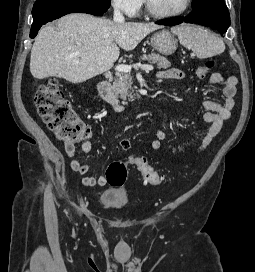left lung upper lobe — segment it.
I'll list each match as a JSON object with an SVG mask.
<instances>
[{
    "label": "left lung upper lobe",
    "instance_id": "obj_1",
    "mask_svg": "<svg viewBox=\"0 0 255 272\" xmlns=\"http://www.w3.org/2000/svg\"><path fill=\"white\" fill-rule=\"evenodd\" d=\"M204 1H206V0H194V7L198 6L199 4H201Z\"/></svg>",
    "mask_w": 255,
    "mask_h": 272
}]
</instances>
